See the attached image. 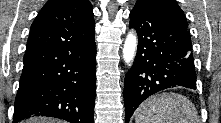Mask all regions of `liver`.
Instances as JSON below:
<instances>
[{
    "label": "liver",
    "mask_w": 221,
    "mask_h": 123,
    "mask_svg": "<svg viewBox=\"0 0 221 123\" xmlns=\"http://www.w3.org/2000/svg\"><path fill=\"white\" fill-rule=\"evenodd\" d=\"M25 123H61V121L52 120V119L43 118V117H35V118H31L29 120H26Z\"/></svg>",
    "instance_id": "liver-1"
}]
</instances>
